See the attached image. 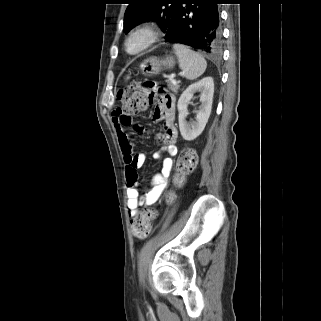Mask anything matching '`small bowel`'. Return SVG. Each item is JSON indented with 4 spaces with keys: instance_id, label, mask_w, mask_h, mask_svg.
I'll return each instance as SVG.
<instances>
[{
    "instance_id": "c3829d8e",
    "label": "small bowel",
    "mask_w": 321,
    "mask_h": 321,
    "mask_svg": "<svg viewBox=\"0 0 321 321\" xmlns=\"http://www.w3.org/2000/svg\"><path fill=\"white\" fill-rule=\"evenodd\" d=\"M161 87V82L140 83L138 85L140 90H150L151 96L158 97L153 120L162 122V131L155 136L156 141L161 146L153 154L155 159L162 160V169L152 177L150 188L143 196H140L137 189V171L144 164L145 155L141 152H134V143L126 131L129 127H133L134 130L140 131L141 127L137 124H133L131 116L124 115L118 108L112 113V122L126 164V177L128 183L127 206L131 216L135 215L140 207L153 205L159 200L161 194L167 187L168 179L173 168L172 157L177 154L175 98L172 94L161 89ZM134 177H136L137 180L132 183L131 180Z\"/></svg>"
}]
</instances>
